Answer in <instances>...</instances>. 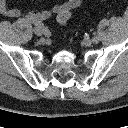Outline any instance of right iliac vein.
Wrapping results in <instances>:
<instances>
[{"label":"right iliac vein","instance_id":"right-iliac-vein-1","mask_svg":"<svg viewBox=\"0 0 128 128\" xmlns=\"http://www.w3.org/2000/svg\"><path fill=\"white\" fill-rule=\"evenodd\" d=\"M34 33H35L37 36H42V32H41V30H40L38 27H35V28H34Z\"/></svg>","mask_w":128,"mask_h":128}]
</instances>
